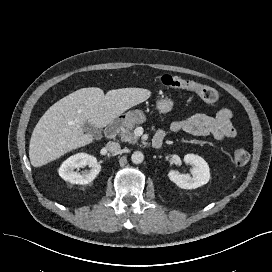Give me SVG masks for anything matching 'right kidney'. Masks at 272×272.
<instances>
[{
    "mask_svg": "<svg viewBox=\"0 0 272 272\" xmlns=\"http://www.w3.org/2000/svg\"><path fill=\"white\" fill-rule=\"evenodd\" d=\"M89 166L90 170L77 173L74 169ZM101 170L97 159L86 153H78L65 160L59 168V175L65 181L73 184L85 185L92 182Z\"/></svg>",
    "mask_w": 272,
    "mask_h": 272,
    "instance_id": "obj_1",
    "label": "right kidney"
}]
</instances>
